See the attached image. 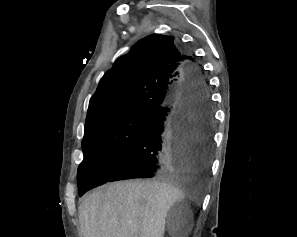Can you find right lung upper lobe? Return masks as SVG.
<instances>
[{
	"label": "right lung upper lobe",
	"instance_id": "cb5924a9",
	"mask_svg": "<svg viewBox=\"0 0 297 237\" xmlns=\"http://www.w3.org/2000/svg\"><path fill=\"white\" fill-rule=\"evenodd\" d=\"M191 56L173 37L150 35L116 60L91 97L85 129L114 116L155 112L166 105L186 81Z\"/></svg>",
	"mask_w": 297,
	"mask_h": 237
}]
</instances>
